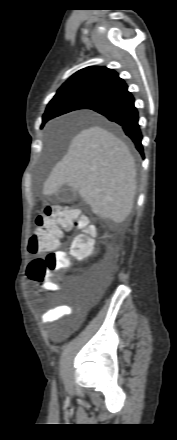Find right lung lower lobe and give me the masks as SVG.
<instances>
[{
    "label": "right lung lower lobe",
    "mask_w": 177,
    "mask_h": 440,
    "mask_svg": "<svg viewBox=\"0 0 177 440\" xmlns=\"http://www.w3.org/2000/svg\"><path fill=\"white\" fill-rule=\"evenodd\" d=\"M84 109L93 110L109 121L119 124L125 134L133 141L136 149L144 156L138 111L134 106V97L127 88L95 100Z\"/></svg>",
    "instance_id": "1"
}]
</instances>
